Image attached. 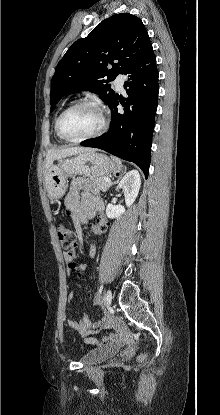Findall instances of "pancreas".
I'll use <instances>...</instances> for the list:
<instances>
[{
    "mask_svg": "<svg viewBox=\"0 0 220 415\" xmlns=\"http://www.w3.org/2000/svg\"><path fill=\"white\" fill-rule=\"evenodd\" d=\"M93 188L96 190H101L103 192H106L110 186L112 185V182H106L105 177H98V178H92Z\"/></svg>",
    "mask_w": 220,
    "mask_h": 415,
    "instance_id": "pancreas-1",
    "label": "pancreas"
}]
</instances>
